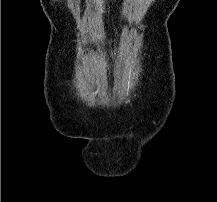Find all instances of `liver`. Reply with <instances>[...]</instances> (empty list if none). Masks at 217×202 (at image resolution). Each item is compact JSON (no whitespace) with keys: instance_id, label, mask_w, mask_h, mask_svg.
<instances>
[{"instance_id":"6515ba94","label":"liver","mask_w":217,"mask_h":202,"mask_svg":"<svg viewBox=\"0 0 217 202\" xmlns=\"http://www.w3.org/2000/svg\"><path fill=\"white\" fill-rule=\"evenodd\" d=\"M95 2H97V4H102L101 0H95Z\"/></svg>"}]
</instances>
